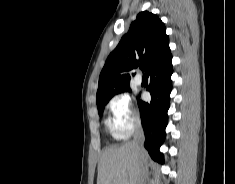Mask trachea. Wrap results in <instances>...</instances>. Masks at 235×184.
I'll return each mask as SVG.
<instances>
[{"mask_svg":"<svg viewBox=\"0 0 235 184\" xmlns=\"http://www.w3.org/2000/svg\"><path fill=\"white\" fill-rule=\"evenodd\" d=\"M140 69L143 71V70H144V66H143V65H141V66H140Z\"/></svg>","mask_w":235,"mask_h":184,"instance_id":"1","label":"trachea"}]
</instances>
